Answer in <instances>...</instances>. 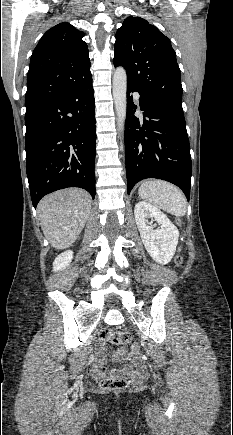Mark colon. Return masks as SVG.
<instances>
[{
  "instance_id": "1",
  "label": "colon",
  "mask_w": 233,
  "mask_h": 435,
  "mask_svg": "<svg viewBox=\"0 0 233 435\" xmlns=\"http://www.w3.org/2000/svg\"><path fill=\"white\" fill-rule=\"evenodd\" d=\"M183 262V258L181 255H178L176 257V263L178 265H181ZM99 337L101 340L103 341H111L115 344H126L128 346H132L133 345V338L132 336L127 333V332H123V331H112L109 328H104L99 332ZM101 388L103 390H107V391H120V390H124L128 387V379L126 377H121V378H104L101 381L100 384Z\"/></svg>"
}]
</instances>
